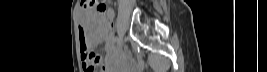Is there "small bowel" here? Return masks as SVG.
I'll use <instances>...</instances> for the list:
<instances>
[{
  "label": "small bowel",
  "mask_w": 267,
  "mask_h": 72,
  "mask_svg": "<svg viewBox=\"0 0 267 72\" xmlns=\"http://www.w3.org/2000/svg\"><path fill=\"white\" fill-rule=\"evenodd\" d=\"M108 17L110 20H112V17H113L112 12H110L108 14ZM88 23L91 26L95 27L96 37L100 40H105V52H106L108 57L111 56V54L113 52V44H112V40H111V36H110V32L112 31V25L108 30H104V29H102V26H103L102 19L99 20V19L88 18ZM81 39H82V41H84L85 37L81 36ZM87 49L88 48L81 50V58H82V62H83L84 66L87 64V52H88ZM100 59H101V57H100ZM108 69H109V66L106 63H104L103 64V71L106 72V71H108Z\"/></svg>",
  "instance_id": "1"
}]
</instances>
